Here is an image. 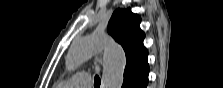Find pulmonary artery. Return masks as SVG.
Returning <instances> with one entry per match:
<instances>
[{
  "label": "pulmonary artery",
  "mask_w": 223,
  "mask_h": 88,
  "mask_svg": "<svg viewBox=\"0 0 223 88\" xmlns=\"http://www.w3.org/2000/svg\"><path fill=\"white\" fill-rule=\"evenodd\" d=\"M70 83L77 88H88L92 85V78L87 72H79L72 77Z\"/></svg>",
  "instance_id": "e3ab8cb5"
}]
</instances>
